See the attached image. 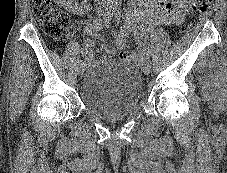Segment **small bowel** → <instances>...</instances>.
Instances as JSON below:
<instances>
[{
    "instance_id": "1",
    "label": "small bowel",
    "mask_w": 227,
    "mask_h": 173,
    "mask_svg": "<svg viewBox=\"0 0 227 173\" xmlns=\"http://www.w3.org/2000/svg\"><path fill=\"white\" fill-rule=\"evenodd\" d=\"M190 0H141V8H133L126 17L125 31H131L137 39H142L153 25L179 24L189 9ZM100 22L85 25L88 33H96ZM124 37L120 35L116 41L118 48L124 47ZM94 41L86 39L82 48V56L87 64H92ZM110 52H113L110 49ZM143 60V55H138Z\"/></svg>"
}]
</instances>
